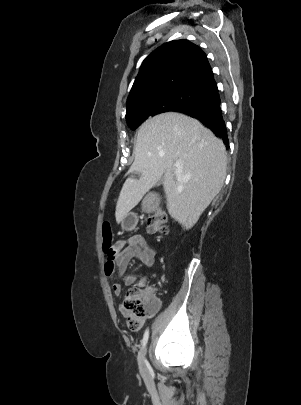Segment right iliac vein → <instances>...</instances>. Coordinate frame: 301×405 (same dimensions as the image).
Instances as JSON below:
<instances>
[{
	"label": "right iliac vein",
	"mask_w": 301,
	"mask_h": 405,
	"mask_svg": "<svg viewBox=\"0 0 301 405\" xmlns=\"http://www.w3.org/2000/svg\"><path fill=\"white\" fill-rule=\"evenodd\" d=\"M146 352H147V348L143 347L141 349V351L139 352V356H138V363H139V368L140 371L143 374L147 373V359H146Z\"/></svg>",
	"instance_id": "63e3f726"
}]
</instances>
